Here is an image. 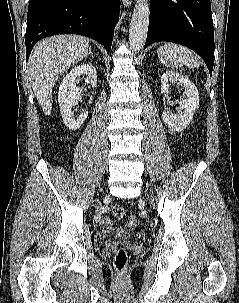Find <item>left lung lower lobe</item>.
Instances as JSON below:
<instances>
[{
  "mask_svg": "<svg viewBox=\"0 0 239 303\" xmlns=\"http://www.w3.org/2000/svg\"><path fill=\"white\" fill-rule=\"evenodd\" d=\"M184 45L214 65V28L210 0H152L144 48L154 42Z\"/></svg>",
  "mask_w": 239,
  "mask_h": 303,
  "instance_id": "obj_1",
  "label": "left lung lower lobe"
}]
</instances>
